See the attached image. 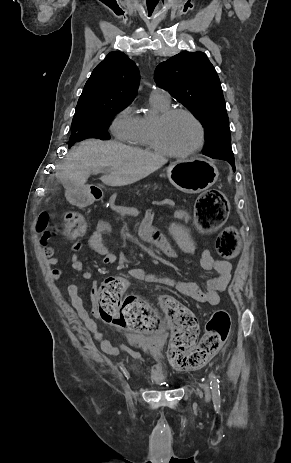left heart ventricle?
<instances>
[{
	"mask_svg": "<svg viewBox=\"0 0 291 463\" xmlns=\"http://www.w3.org/2000/svg\"><path fill=\"white\" fill-rule=\"evenodd\" d=\"M159 134L161 142L176 152H183L192 148L199 138L198 127L185 115L175 116L163 123Z\"/></svg>",
	"mask_w": 291,
	"mask_h": 463,
	"instance_id": "left-heart-ventricle-1",
	"label": "left heart ventricle"
}]
</instances>
